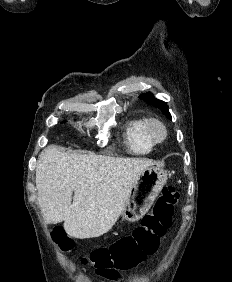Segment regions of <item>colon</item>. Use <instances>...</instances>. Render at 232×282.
Wrapping results in <instances>:
<instances>
[{"label": "colon", "instance_id": "obj_1", "mask_svg": "<svg viewBox=\"0 0 232 282\" xmlns=\"http://www.w3.org/2000/svg\"><path fill=\"white\" fill-rule=\"evenodd\" d=\"M178 198L179 194L173 186H164L152 211L143 217L131 235L118 239L109 247L93 250L89 256L81 258L80 262L83 265L90 264L100 275L136 267L156 251L160 238L171 226ZM52 239L63 251H68L73 246L72 240L62 228L52 231Z\"/></svg>", "mask_w": 232, "mask_h": 282}]
</instances>
